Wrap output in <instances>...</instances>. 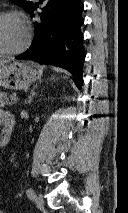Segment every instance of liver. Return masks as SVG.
Masks as SVG:
<instances>
[{
    "label": "liver",
    "mask_w": 128,
    "mask_h": 213,
    "mask_svg": "<svg viewBox=\"0 0 128 213\" xmlns=\"http://www.w3.org/2000/svg\"><path fill=\"white\" fill-rule=\"evenodd\" d=\"M8 63V60H0V65Z\"/></svg>",
    "instance_id": "obj_1"
}]
</instances>
